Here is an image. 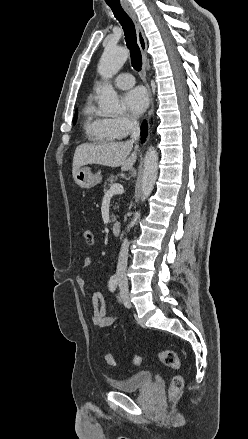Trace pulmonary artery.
I'll use <instances>...</instances> for the list:
<instances>
[{"instance_id":"e3ab8cb5","label":"pulmonary artery","mask_w":248,"mask_h":439,"mask_svg":"<svg viewBox=\"0 0 248 439\" xmlns=\"http://www.w3.org/2000/svg\"><path fill=\"white\" fill-rule=\"evenodd\" d=\"M135 80L130 73H121L115 79V85L119 89H127L134 85Z\"/></svg>"}]
</instances>
